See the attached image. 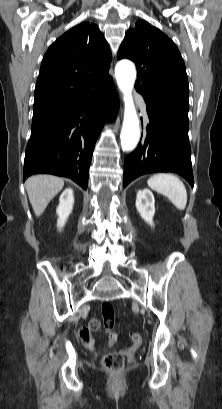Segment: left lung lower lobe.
Returning a JSON list of instances; mask_svg holds the SVG:
<instances>
[{
    "label": "left lung lower lobe",
    "mask_w": 222,
    "mask_h": 409,
    "mask_svg": "<svg viewBox=\"0 0 222 409\" xmlns=\"http://www.w3.org/2000/svg\"><path fill=\"white\" fill-rule=\"evenodd\" d=\"M150 123L148 136L124 161L123 186L140 175L174 172L193 187L191 149L188 139L189 105L182 99L161 102L144 98Z\"/></svg>",
    "instance_id": "0a47b994"
}]
</instances>
